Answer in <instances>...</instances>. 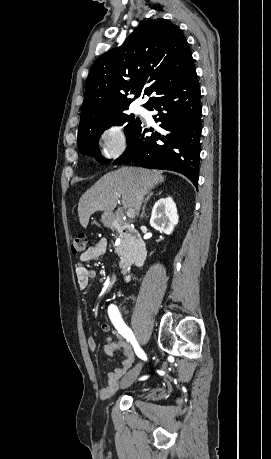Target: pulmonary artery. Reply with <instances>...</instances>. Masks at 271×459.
Listing matches in <instances>:
<instances>
[{"label":"pulmonary artery","instance_id":"obj_1","mask_svg":"<svg viewBox=\"0 0 271 459\" xmlns=\"http://www.w3.org/2000/svg\"><path fill=\"white\" fill-rule=\"evenodd\" d=\"M135 113L144 117L145 119L147 120H151L152 119V115H151V112L148 111L145 107L143 106H140L138 105L136 108H135Z\"/></svg>","mask_w":271,"mask_h":459}]
</instances>
